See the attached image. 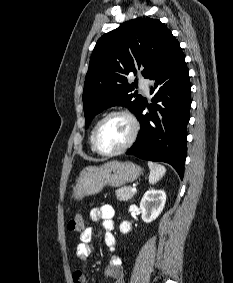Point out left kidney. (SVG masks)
<instances>
[{"mask_svg":"<svg viewBox=\"0 0 233 283\" xmlns=\"http://www.w3.org/2000/svg\"><path fill=\"white\" fill-rule=\"evenodd\" d=\"M165 202L166 194L163 190L147 191L140 202L142 220L146 223L155 220L161 214ZM130 230L131 224L127 221H123L120 225V231L125 234Z\"/></svg>","mask_w":233,"mask_h":283,"instance_id":"left-kidney-1","label":"left kidney"}]
</instances>
